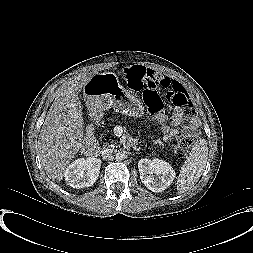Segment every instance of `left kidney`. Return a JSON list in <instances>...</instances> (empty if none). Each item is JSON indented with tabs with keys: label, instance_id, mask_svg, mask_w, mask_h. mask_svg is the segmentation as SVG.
Listing matches in <instances>:
<instances>
[{
	"label": "left kidney",
	"instance_id": "obj_1",
	"mask_svg": "<svg viewBox=\"0 0 253 253\" xmlns=\"http://www.w3.org/2000/svg\"><path fill=\"white\" fill-rule=\"evenodd\" d=\"M138 169L142 183L155 193L164 191L175 178L172 166L158 158L139 160Z\"/></svg>",
	"mask_w": 253,
	"mask_h": 253
}]
</instances>
